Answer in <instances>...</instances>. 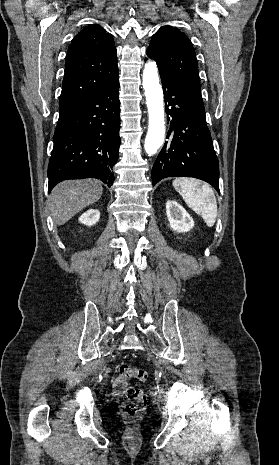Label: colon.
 Listing matches in <instances>:
<instances>
[{
    "instance_id": "colon-1",
    "label": "colon",
    "mask_w": 279,
    "mask_h": 465,
    "mask_svg": "<svg viewBox=\"0 0 279 465\" xmlns=\"http://www.w3.org/2000/svg\"><path fill=\"white\" fill-rule=\"evenodd\" d=\"M131 379L143 382L147 379V372L122 363L119 366L118 376L113 381V390L121 411L133 418L145 410L147 398L140 388L129 384Z\"/></svg>"
}]
</instances>
